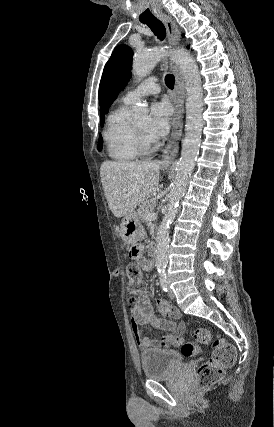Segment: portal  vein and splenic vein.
<instances>
[{"label": "portal vein and splenic vein", "instance_id": "18ae733b", "mask_svg": "<svg viewBox=\"0 0 274 427\" xmlns=\"http://www.w3.org/2000/svg\"><path fill=\"white\" fill-rule=\"evenodd\" d=\"M157 215L156 214H147L146 219H156Z\"/></svg>", "mask_w": 274, "mask_h": 427}]
</instances>
